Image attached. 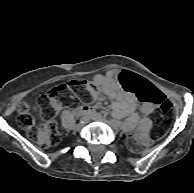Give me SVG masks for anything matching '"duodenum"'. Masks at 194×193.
Listing matches in <instances>:
<instances>
[{
  "mask_svg": "<svg viewBox=\"0 0 194 193\" xmlns=\"http://www.w3.org/2000/svg\"><path fill=\"white\" fill-rule=\"evenodd\" d=\"M81 114L83 115H89V116H96V112H94L92 109H88V110H85V111H82Z\"/></svg>",
  "mask_w": 194,
  "mask_h": 193,
  "instance_id": "410a0bca",
  "label": "duodenum"
}]
</instances>
